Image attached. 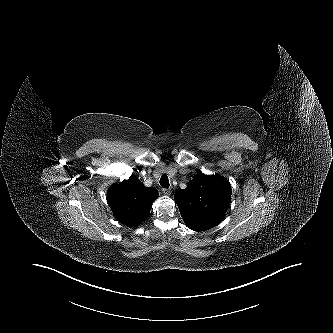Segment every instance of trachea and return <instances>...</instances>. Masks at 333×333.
<instances>
[{
	"label": "trachea",
	"mask_w": 333,
	"mask_h": 333,
	"mask_svg": "<svg viewBox=\"0 0 333 333\" xmlns=\"http://www.w3.org/2000/svg\"><path fill=\"white\" fill-rule=\"evenodd\" d=\"M160 185L164 188H169L170 184H169L168 177L166 175L161 176Z\"/></svg>",
	"instance_id": "1"
}]
</instances>
